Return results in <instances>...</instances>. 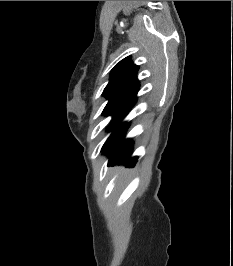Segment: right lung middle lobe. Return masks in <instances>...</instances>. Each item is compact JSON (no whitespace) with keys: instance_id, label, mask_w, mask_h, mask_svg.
<instances>
[{"instance_id":"1","label":"right lung middle lobe","mask_w":233,"mask_h":266,"mask_svg":"<svg viewBox=\"0 0 233 266\" xmlns=\"http://www.w3.org/2000/svg\"><path fill=\"white\" fill-rule=\"evenodd\" d=\"M107 98L109 101L103 111V114L112 115L113 117V123L109 127V130L113 131L110 136L111 138L124 125V123H121V120L134 106L137 97L136 94H121L109 96Z\"/></svg>"}]
</instances>
